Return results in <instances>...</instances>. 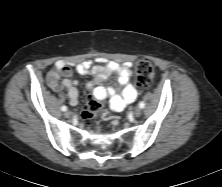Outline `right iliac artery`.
Segmentation results:
<instances>
[{
	"label": "right iliac artery",
	"instance_id": "82829eb1",
	"mask_svg": "<svg viewBox=\"0 0 222 187\" xmlns=\"http://www.w3.org/2000/svg\"><path fill=\"white\" fill-rule=\"evenodd\" d=\"M61 110H62V111H66V110H67V107H66V106H62V107H61Z\"/></svg>",
	"mask_w": 222,
	"mask_h": 187
}]
</instances>
